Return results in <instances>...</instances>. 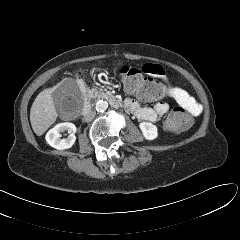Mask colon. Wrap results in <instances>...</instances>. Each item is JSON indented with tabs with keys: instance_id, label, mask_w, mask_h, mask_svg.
<instances>
[{
	"instance_id": "obj_1",
	"label": "colon",
	"mask_w": 240,
	"mask_h": 240,
	"mask_svg": "<svg viewBox=\"0 0 240 240\" xmlns=\"http://www.w3.org/2000/svg\"><path fill=\"white\" fill-rule=\"evenodd\" d=\"M125 89L143 101L162 100L169 95V89L156 78L144 74L140 69L124 66L120 69ZM192 118L182 107L173 109L167 116L165 128L180 132L189 128Z\"/></svg>"
}]
</instances>
